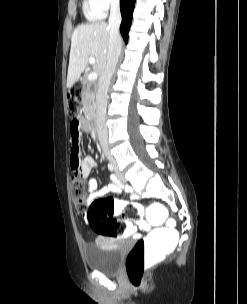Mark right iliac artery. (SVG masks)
Returning <instances> with one entry per match:
<instances>
[{"instance_id":"82829eb1","label":"right iliac artery","mask_w":247,"mask_h":304,"mask_svg":"<svg viewBox=\"0 0 247 304\" xmlns=\"http://www.w3.org/2000/svg\"><path fill=\"white\" fill-rule=\"evenodd\" d=\"M108 169H109V171L113 172V171H114V166H113V164L108 163ZM111 178L116 179L114 175H112V177H111Z\"/></svg>"}]
</instances>
